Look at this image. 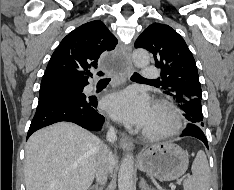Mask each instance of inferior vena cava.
Listing matches in <instances>:
<instances>
[{
  "label": "inferior vena cava",
  "instance_id": "602c4592",
  "mask_svg": "<svg viewBox=\"0 0 234 190\" xmlns=\"http://www.w3.org/2000/svg\"><path fill=\"white\" fill-rule=\"evenodd\" d=\"M107 140L109 142H114L116 137V132L113 127H110L107 132ZM112 158L111 151L104 146L98 156L97 166H96V181L101 185H104L107 181V175L110 170V160Z\"/></svg>",
  "mask_w": 234,
  "mask_h": 190
}]
</instances>
